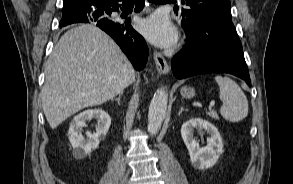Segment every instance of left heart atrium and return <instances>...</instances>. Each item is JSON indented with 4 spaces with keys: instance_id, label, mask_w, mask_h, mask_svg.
Instances as JSON below:
<instances>
[{
    "instance_id": "obj_1",
    "label": "left heart atrium",
    "mask_w": 293,
    "mask_h": 184,
    "mask_svg": "<svg viewBox=\"0 0 293 184\" xmlns=\"http://www.w3.org/2000/svg\"><path fill=\"white\" fill-rule=\"evenodd\" d=\"M141 32L153 43L169 47L176 42L177 32L168 17L156 13L145 19L140 25Z\"/></svg>"
}]
</instances>
